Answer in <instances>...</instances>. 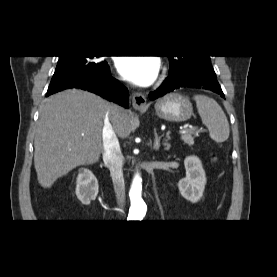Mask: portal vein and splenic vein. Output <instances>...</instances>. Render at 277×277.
<instances>
[{
	"label": "portal vein and splenic vein",
	"instance_id": "18ae733b",
	"mask_svg": "<svg viewBox=\"0 0 277 277\" xmlns=\"http://www.w3.org/2000/svg\"><path fill=\"white\" fill-rule=\"evenodd\" d=\"M187 132H188L187 129H183V130H180V131H179V134H182V135H183V134H186Z\"/></svg>",
	"mask_w": 277,
	"mask_h": 277
}]
</instances>
